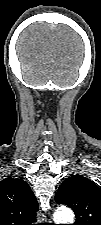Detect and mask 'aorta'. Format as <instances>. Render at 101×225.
I'll list each match as a JSON object with an SVG mask.
<instances>
[{
  "label": "aorta",
  "instance_id": "obj_1",
  "mask_svg": "<svg viewBox=\"0 0 101 225\" xmlns=\"http://www.w3.org/2000/svg\"><path fill=\"white\" fill-rule=\"evenodd\" d=\"M55 224H73L74 214L70 208L59 207L54 213Z\"/></svg>",
  "mask_w": 101,
  "mask_h": 225
}]
</instances>
